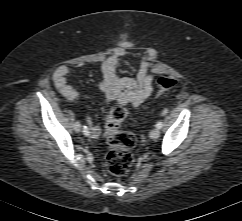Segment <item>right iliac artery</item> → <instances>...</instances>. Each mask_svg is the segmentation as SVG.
Segmentation results:
<instances>
[{
    "label": "right iliac artery",
    "instance_id": "82829eb1",
    "mask_svg": "<svg viewBox=\"0 0 242 221\" xmlns=\"http://www.w3.org/2000/svg\"><path fill=\"white\" fill-rule=\"evenodd\" d=\"M83 133H84V135H86V136L89 135L90 132H89L87 126H83Z\"/></svg>",
    "mask_w": 242,
    "mask_h": 221
}]
</instances>
